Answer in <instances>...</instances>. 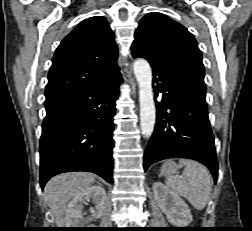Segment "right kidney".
Here are the masks:
<instances>
[{"mask_svg":"<svg viewBox=\"0 0 252 231\" xmlns=\"http://www.w3.org/2000/svg\"><path fill=\"white\" fill-rule=\"evenodd\" d=\"M94 203L91 209L93 218H100L105 209L106 192L101 186H92L76 195L68 204L66 209L65 224L68 228H84L83 204L86 201Z\"/></svg>","mask_w":252,"mask_h":231,"instance_id":"1","label":"right kidney"}]
</instances>
